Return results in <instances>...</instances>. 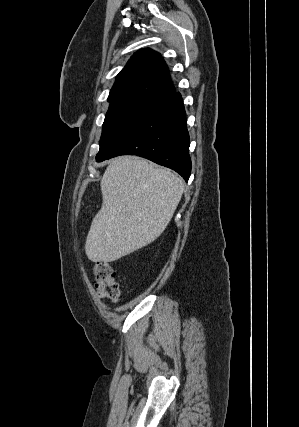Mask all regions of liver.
<instances>
[{
  "label": "liver",
  "mask_w": 299,
  "mask_h": 427,
  "mask_svg": "<svg viewBox=\"0 0 299 427\" xmlns=\"http://www.w3.org/2000/svg\"><path fill=\"white\" fill-rule=\"evenodd\" d=\"M102 207L92 220L85 253L113 262L158 238L181 200L184 181L167 168L137 156H121L102 179Z\"/></svg>",
  "instance_id": "1"
}]
</instances>
